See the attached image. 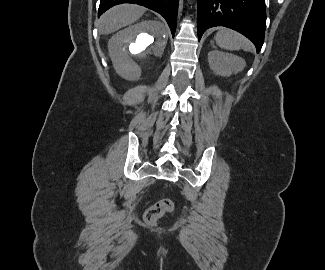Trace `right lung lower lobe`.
Instances as JSON below:
<instances>
[{
	"label": "right lung lower lobe",
	"mask_w": 325,
	"mask_h": 270,
	"mask_svg": "<svg viewBox=\"0 0 325 270\" xmlns=\"http://www.w3.org/2000/svg\"><path fill=\"white\" fill-rule=\"evenodd\" d=\"M121 3H135L158 12L167 21L174 37L179 0H101L98 15L100 16L110 7Z\"/></svg>",
	"instance_id": "obj_1"
}]
</instances>
